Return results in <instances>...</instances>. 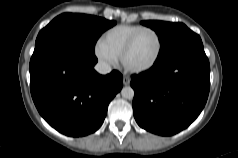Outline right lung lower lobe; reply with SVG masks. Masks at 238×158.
<instances>
[{"mask_svg": "<svg viewBox=\"0 0 238 158\" xmlns=\"http://www.w3.org/2000/svg\"><path fill=\"white\" fill-rule=\"evenodd\" d=\"M97 58L62 38L35 46L30 60V89L40 115L57 131L80 137L103 123L110 101L121 90L116 70L100 75Z\"/></svg>", "mask_w": 238, "mask_h": 158, "instance_id": "98d812e1", "label": "right lung lower lobe"}]
</instances>
